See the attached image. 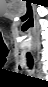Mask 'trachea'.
I'll use <instances>...</instances> for the list:
<instances>
[{
  "mask_svg": "<svg viewBox=\"0 0 48 87\" xmlns=\"http://www.w3.org/2000/svg\"><path fill=\"white\" fill-rule=\"evenodd\" d=\"M26 57H27V65L30 69H32L33 68V59H32L31 54L27 53Z\"/></svg>",
  "mask_w": 48,
  "mask_h": 87,
  "instance_id": "1",
  "label": "trachea"
}]
</instances>
